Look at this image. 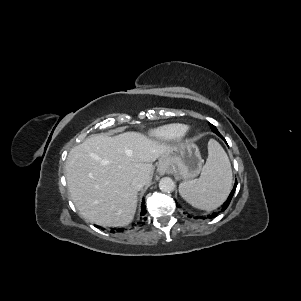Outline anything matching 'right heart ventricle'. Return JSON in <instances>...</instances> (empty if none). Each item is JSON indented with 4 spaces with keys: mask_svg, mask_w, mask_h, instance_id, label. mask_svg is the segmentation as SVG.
<instances>
[{
    "mask_svg": "<svg viewBox=\"0 0 301 301\" xmlns=\"http://www.w3.org/2000/svg\"><path fill=\"white\" fill-rule=\"evenodd\" d=\"M187 129L185 124L172 123L152 130L150 136L159 141L172 142L181 139L186 134Z\"/></svg>",
    "mask_w": 301,
    "mask_h": 301,
    "instance_id": "right-heart-ventricle-1",
    "label": "right heart ventricle"
}]
</instances>
